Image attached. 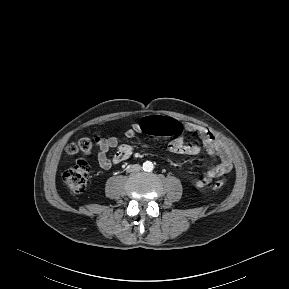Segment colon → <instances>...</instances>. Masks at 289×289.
Here are the masks:
<instances>
[{"mask_svg": "<svg viewBox=\"0 0 289 289\" xmlns=\"http://www.w3.org/2000/svg\"><path fill=\"white\" fill-rule=\"evenodd\" d=\"M140 130L144 134H152L155 136H173L181 131V122L177 118L161 116L153 113L150 116H144L139 122ZM98 146V139L82 137L71 142L67 146V152L70 154L86 155L91 153ZM90 174V167L85 160H79L68 169L63 175V183L75 194L83 193L87 187ZM226 184V179L217 180L213 187L220 189Z\"/></svg>", "mask_w": 289, "mask_h": 289, "instance_id": "colon-1", "label": "colon"}]
</instances>
